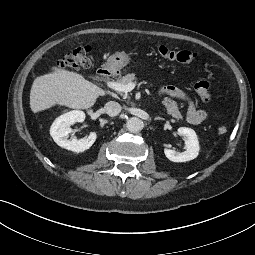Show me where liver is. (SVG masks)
Returning <instances> with one entry per match:
<instances>
[{
    "label": "liver",
    "instance_id": "6515ba94",
    "mask_svg": "<svg viewBox=\"0 0 255 255\" xmlns=\"http://www.w3.org/2000/svg\"><path fill=\"white\" fill-rule=\"evenodd\" d=\"M106 91L86 80L82 75L56 68L53 73L37 77L30 91V108L33 113L55 105L72 109H88Z\"/></svg>",
    "mask_w": 255,
    "mask_h": 255
}]
</instances>
